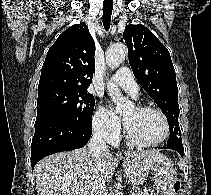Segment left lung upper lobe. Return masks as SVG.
<instances>
[{"label":"left lung upper lobe","instance_id":"obj_1","mask_svg":"<svg viewBox=\"0 0 211 195\" xmlns=\"http://www.w3.org/2000/svg\"><path fill=\"white\" fill-rule=\"evenodd\" d=\"M135 78L167 117V145L182 144L178 122V87L170 53L144 25H128L123 33Z\"/></svg>","mask_w":211,"mask_h":195}]
</instances>
